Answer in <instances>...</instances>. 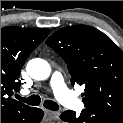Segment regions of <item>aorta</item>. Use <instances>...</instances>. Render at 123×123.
Segmentation results:
<instances>
[{
    "label": "aorta",
    "instance_id": "aorta-1",
    "mask_svg": "<svg viewBox=\"0 0 123 123\" xmlns=\"http://www.w3.org/2000/svg\"><path fill=\"white\" fill-rule=\"evenodd\" d=\"M26 70L29 76L35 80H45L51 73L49 63L41 58L31 59L27 63Z\"/></svg>",
    "mask_w": 123,
    "mask_h": 123
}]
</instances>
